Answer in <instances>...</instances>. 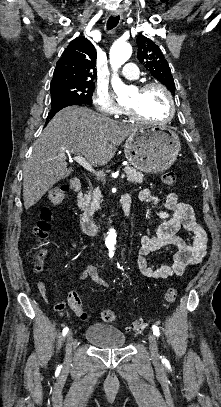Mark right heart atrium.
Segmentation results:
<instances>
[{
	"mask_svg": "<svg viewBox=\"0 0 221 407\" xmlns=\"http://www.w3.org/2000/svg\"><path fill=\"white\" fill-rule=\"evenodd\" d=\"M92 101L96 110L109 116H116L122 112V108L116 103L112 95L103 88H97Z\"/></svg>",
	"mask_w": 221,
	"mask_h": 407,
	"instance_id": "1",
	"label": "right heart atrium"
}]
</instances>
